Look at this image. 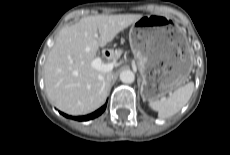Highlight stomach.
<instances>
[{
  "instance_id": "obj_1",
  "label": "stomach",
  "mask_w": 230,
  "mask_h": 155,
  "mask_svg": "<svg viewBox=\"0 0 230 155\" xmlns=\"http://www.w3.org/2000/svg\"><path fill=\"white\" fill-rule=\"evenodd\" d=\"M129 42L142 76L144 100L157 101L188 80L193 50L183 29L170 18L142 16L132 24Z\"/></svg>"
}]
</instances>
